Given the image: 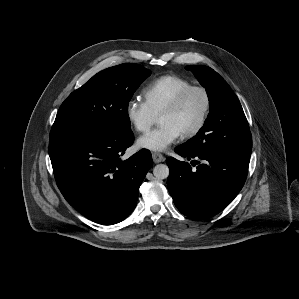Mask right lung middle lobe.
<instances>
[{
    "mask_svg": "<svg viewBox=\"0 0 299 299\" xmlns=\"http://www.w3.org/2000/svg\"><path fill=\"white\" fill-rule=\"evenodd\" d=\"M150 74L148 69L134 63L120 64L97 73L62 103L51 132L130 130L128 103Z\"/></svg>",
    "mask_w": 299,
    "mask_h": 299,
    "instance_id": "right-lung-middle-lobe-1",
    "label": "right lung middle lobe"
}]
</instances>
